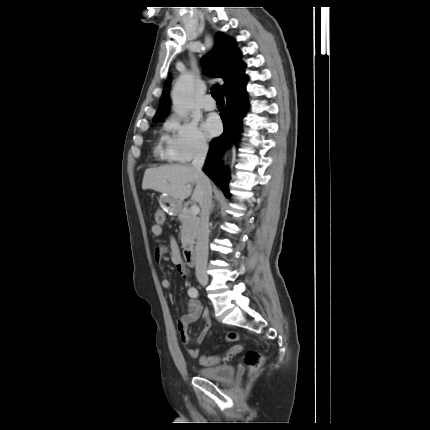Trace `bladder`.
<instances>
[{"label": "bladder", "instance_id": "bladder-1", "mask_svg": "<svg viewBox=\"0 0 430 430\" xmlns=\"http://www.w3.org/2000/svg\"><path fill=\"white\" fill-rule=\"evenodd\" d=\"M197 373L200 377L211 381L226 382L233 378L234 367L227 364L206 366L199 368Z\"/></svg>", "mask_w": 430, "mask_h": 430}]
</instances>
